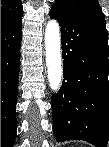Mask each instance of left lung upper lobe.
<instances>
[{
    "label": "left lung upper lobe",
    "instance_id": "obj_1",
    "mask_svg": "<svg viewBox=\"0 0 109 147\" xmlns=\"http://www.w3.org/2000/svg\"><path fill=\"white\" fill-rule=\"evenodd\" d=\"M53 7L64 10L107 33L105 17L97 0H56ZM64 78L68 90L77 92L81 86L80 74L78 72H70Z\"/></svg>",
    "mask_w": 109,
    "mask_h": 147
}]
</instances>
